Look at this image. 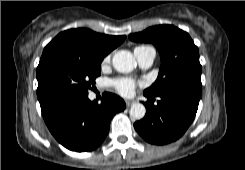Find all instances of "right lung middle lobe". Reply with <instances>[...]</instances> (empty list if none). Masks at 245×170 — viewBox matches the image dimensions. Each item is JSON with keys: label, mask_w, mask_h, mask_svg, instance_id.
Returning a JSON list of instances; mask_svg holds the SVG:
<instances>
[{"label": "right lung middle lobe", "mask_w": 245, "mask_h": 170, "mask_svg": "<svg viewBox=\"0 0 245 170\" xmlns=\"http://www.w3.org/2000/svg\"><path fill=\"white\" fill-rule=\"evenodd\" d=\"M101 62L62 53L42 56L37 67L41 109L64 99L88 95V89L100 75Z\"/></svg>", "instance_id": "1"}]
</instances>
